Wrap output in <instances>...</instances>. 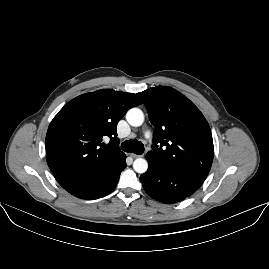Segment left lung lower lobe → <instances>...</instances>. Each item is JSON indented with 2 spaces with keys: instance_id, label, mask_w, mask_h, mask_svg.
Masks as SVG:
<instances>
[{
  "instance_id": "left-lung-lower-lobe-1",
  "label": "left lung lower lobe",
  "mask_w": 269,
  "mask_h": 269,
  "mask_svg": "<svg viewBox=\"0 0 269 269\" xmlns=\"http://www.w3.org/2000/svg\"><path fill=\"white\" fill-rule=\"evenodd\" d=\"M148 163V170L140 176V181L149 196L163 203H177L191 196L206 178L149 160Z\"/></svg>"
}]
</instances>
